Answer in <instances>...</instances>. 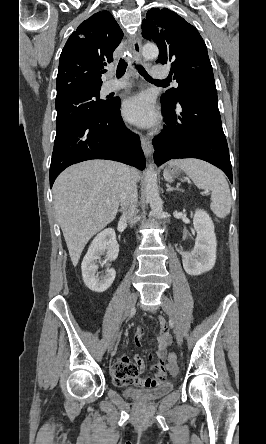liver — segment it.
<instances>
[{
    "label": "liver",
    "instance_id": "obj_1",
    "mask_svg": "<svg viewBox=\"0 0 266 444\" xmlns=\"http://www.w3.org/2000/svg\"><path fill=\"white\" fill-rule=\"evenodd\" d=\"M123 166L108 160L85 161L67 168L53 185L56 216L74 266L90 238L117 215ZM130 171L138 181V170Z\"/></svg>",
    "mask_w": 266,
    "mask_h": 444
}]
</instances>
